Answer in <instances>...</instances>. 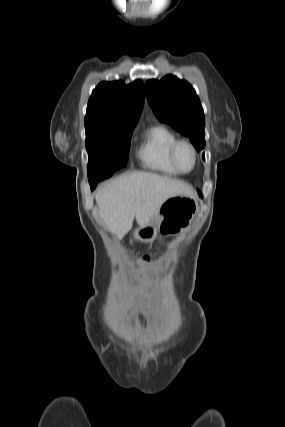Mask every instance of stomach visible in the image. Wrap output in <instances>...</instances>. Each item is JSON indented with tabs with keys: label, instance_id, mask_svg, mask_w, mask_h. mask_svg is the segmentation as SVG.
<instances>
[{
	"label": "stomach",
	"instance_id": "0dacf381",
	"mask_svg": "<svg viewBox=\"0 0 285 427\" xmlns=\"http://www.w3.org/2000/svg\"><path fill=\"white\" fill-rule=\"evenodd\" d=\"M198 212L197 201L189 196L177 195L166 201L151 222L136 230L134 236L141 242H152L158 232L168 234L187 228Z\"/></svg>",
	"mask_w": 285,
	"mask_h": 427
}]
</instances>
